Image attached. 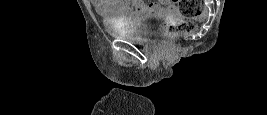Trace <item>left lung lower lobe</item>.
Segmentation results:
<instances>
[{
  "mask_svg": "<svg viewBox=\"0 0 267 115\" xmlns=\"http://www.w3.org/2000/svg\"><path fill=\"white\" fill-rule=\"evenodd\" d=\"M160 87H150V89H153V90H157L159 89Z\"/></svg>",
  "mask_w": 267,
  "mask_h": 115,
  "instance_id": "1",
  "label": "left lung lower lobe"
}]
</instances>
